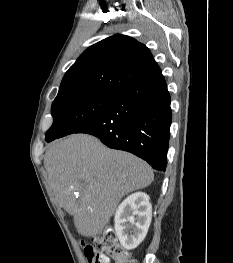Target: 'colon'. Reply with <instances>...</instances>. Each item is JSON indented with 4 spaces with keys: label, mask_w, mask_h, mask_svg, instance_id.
Segmentation results:
<instances>
[{
    "label": "colon",
    "mask_w": 233,
    "mask_h": 263,
    "mask_svg": "<svg viewBox=\"0 0 233 263\" xmlns=\"http://www.w3.org/2000/svg\"><path fill=\"white\" fill-rule=\"evenodd\" d=\"M89 263H137L132 252L121 246L115 231L107 229L84 249Z\"/></svg>",
    "instance_id": "5ec220e1"
}]
</instances>
